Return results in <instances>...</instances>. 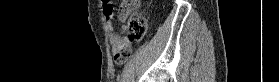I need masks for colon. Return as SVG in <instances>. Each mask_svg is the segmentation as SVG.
Here are the masks:
<instances>
[{
  "label": "colon",
  "instance_id": "colon-1",
  "mask_svg": "<svg viewBox=\"0 0 279 82\" xmlns=\"http://www.w3.org/2000/svg\"><path fill=\"white\" fill-rule=\"evenodd\" d=\"M139 2L137 0H125L118 10V18L123 23L126 32L127 47L123 50L125 60L131 56L132 45L139 42L145 32L143 19L134 11Z\"/></svg>",
  "mask_w": 279,
  "mask_h": 82
}]
</instances>
